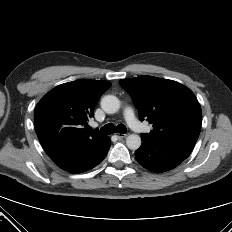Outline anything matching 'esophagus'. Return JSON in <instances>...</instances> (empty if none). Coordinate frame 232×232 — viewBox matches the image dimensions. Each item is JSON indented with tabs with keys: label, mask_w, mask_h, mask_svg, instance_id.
Here are the masks:
<instances>
[{
	"label": "esophagus",
	"mask_w": 232,
	"mask_h": 232,
	"mask_svg": "<svg viewBox=\"0 0 232 232\" xmlns=\"http://www.w3.org/2000/svg\"><path fill=\"white\" fill-rule=\"evenodd\" d=\"M115 135H116L118 138H126V137L129 135V133H125V134L116 133Z\"/></svg>",
	"instance_id": "1"
}]
</instances>
